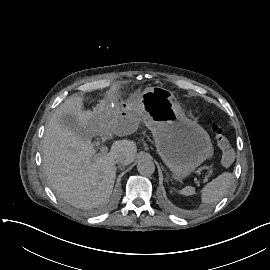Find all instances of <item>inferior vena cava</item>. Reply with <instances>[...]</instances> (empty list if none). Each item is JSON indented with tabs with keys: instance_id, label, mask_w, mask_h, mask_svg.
I'll return each mask as SVG.
<instances>
[{
	"instance_id": "inferior-vena-cava-1",
	"label": "inferior vena cava",
	"mask_w": 270,
	"mask_h": 270,
	"mask_svg": "<svg viewBox=\"0 0 270 270\" xmlns=\"http://www.w3.org/2000/svg\"><path fill=\"white\" fill-rule=\"evenodd\" d=\"M115 163L121 164V165H127L128 164L126 158L125 157H120V156L116 157Z\"/></svg>"
}]
</instances>
